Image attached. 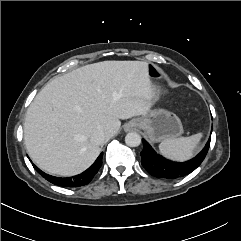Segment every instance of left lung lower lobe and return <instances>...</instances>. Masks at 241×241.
Segmentation results:
<instances>
[{
	"instance_id": "left-lung-lower-lobe-1",
	"label": "left lung lower lobe",
	"mask_w": 241,
	"mask_h": 241,
	"mask_svg": "<svg viewBox=\"0 0 241 241\" xmlns=\"http://www.w3.org/2000/svg\"><path fill=\"white\" fill-rule=\"evenodd\" d=\"M143 150L141 152V163L146 171L157 178L176 179L194 171L204 160L210 146L208 140L204 149L193 159L185 162L170 161L158 155L152 147L142 139Z\"/></svg>"
}]
</instances>
